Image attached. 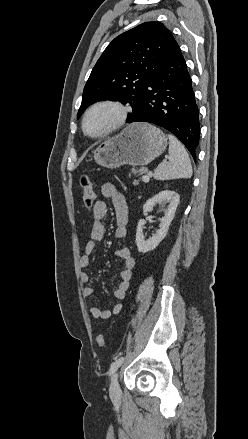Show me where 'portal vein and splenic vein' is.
<instances>
[{
	"label": "portal vein and splenic vein",
	"mask_w": 248,
	"mask_h": 439,
	"mask_svg": "<svg viewBox=\"0 0 248 439\" xmlns=\"http://www.w3.org/2000/svg\"><path fill=\"white\" fill-rule=\"evenodd\" d=\"M151 175H152V172H149V173H148V176H143L142 180H143L144 182H148V181H149V176H151Z\"/></svg>",
	"instance_id": "obj_1"
}]
</instances>
